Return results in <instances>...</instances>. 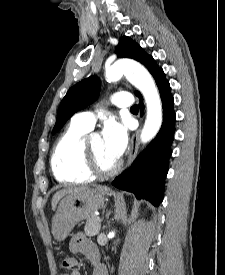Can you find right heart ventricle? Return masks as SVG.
<instances>
[{"label":"right heart ventricle","instance_id":"e07e8e85","mask_svg":"<svg viewBox=\"0 0 225 275\" xmlns=\"http://www.w3.org/2000/svg\"><path fill=\"white\" fill-rule=\"evenodd\" d=\"M89 130L72 123L57 140L51 156V168L59 182L82 184L93 180L83 165L82 146Z\"/></svg>","mask_w":225,"mask_h":275}]
</instances>
